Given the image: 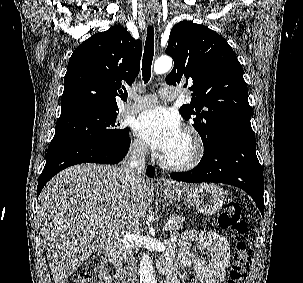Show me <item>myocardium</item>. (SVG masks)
I'll use <instances>...</instances> for the list:
<instances>
[{
	"label": "myocardium",
	"mask_w": 303,
	"mask_h": 283,
	"mask_svg": "<svg viewBox=\"0 0 303 283\" xmlns=\"http://www.w3.org/2000/svg\"><path fill=\"white\" fill-rule=\"evenodd\" d=\"M182 133L191 144V153L187 159L179 162L171 161L163 154L160 158V163L165 169L178 172L189 171L198 166L203 158L204 143L199 132L194 127L187 126Z\"/></svg>",
	"instance_id": "obj_1"
}]
</instances>
